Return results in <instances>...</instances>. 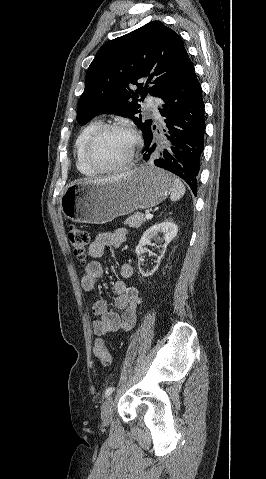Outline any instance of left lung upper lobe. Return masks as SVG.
<instances>
[{
  "label": "left lung upper lobe",
  "instance_id": "1",
  "mask_svg": "<svg viewBox=\"0 0 266 479\" xmlns=\"http://www.w3.org/2000/svg\"><path fill=\"white\" fill-rule=\"evenodd\" d=\"M190 64L180 36L160 21L108 41L87 71L78 123L85 125L99 113L117 114L131 118L145 136L152 120L138 115V101L147 93L163 98ZM132 85L137 86L136 91Z\"/></svg>",
  "mask_w": 266,
  "mask_h": 479
}]
</instances>
